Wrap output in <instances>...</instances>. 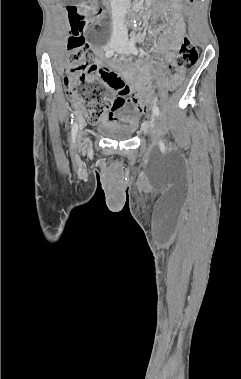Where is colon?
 <instances>
[{"label":"colon","instance_id":"5ec220e1","mask_svg":"<svg viewBox=\"0 0 241 379\" xmlns=\"http://www.w3.org/2000/svg\"><path fill=\"white\" fill-rule=\"evenodd\" d=\"M99 1V0H98ZM187 6H192L196 0H186ZM72 26L73 36L68 41L70 60L65 66V85L70 97L84 112L89 123H97L103 114L111 110L115 100L111 93L102 85L107 83L121 95H127L129 90L112 72L99 68L93 63L94 53L85 40L78 36L85 27L86 13L76 5L65 7ZM198 60V53L192 41L184 37L178 50L177 65L181 72L190 70ZM100 80V81H99ZM177 83V82H176ZM167 95L172 98L177 86L172 83L167 87ZM158 87H151L142 93L143 101L154 99L160 93Z\"/></svg>","mask_w":241,"mask_h":379}]
</instances>
